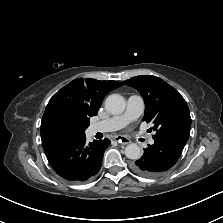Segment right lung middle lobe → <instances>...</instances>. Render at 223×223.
Segmentation results:
<instances>
[{
	"label": "right lung middle lobe",
	"instance_id": "obj_1",
	"mask_svg": "<svg viewBox=\"0 0 223 223\" xmlns=\"http://www.w3.org/2000/svg\"><path fill=\"white\" fill-rule=\"evenodd\" d=\"M89 126V123L83 126V130H85Z\"/></svg>",
	"mask_w": 223,
	"mask_h": 223
}]
</instances>
